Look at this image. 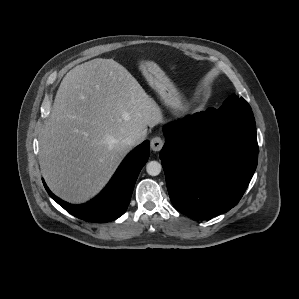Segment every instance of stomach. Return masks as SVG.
Listing matches in <instances>:
<instances>
[{"mask_svg": "<svg viewBox=\"0 0 299 299\" xmlns=\"http://www.w3.org/2000/svg\"><path fill=\"white\" fill-rule=\"evenodd\" d=\"M142 70L149 83L158 91L162 86L166 88V93L171 97V102L167 103L171 107L177 110L182 109L175 88L172 86L165 74L159 69V67L153 63H148L143 66Z\"/></svg>", "mask_w": 299, "mask_h": 299, "instance_id": "stomach-1", "label": "stomach"}]
</instances>
